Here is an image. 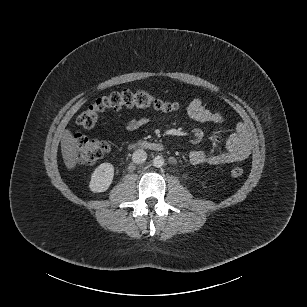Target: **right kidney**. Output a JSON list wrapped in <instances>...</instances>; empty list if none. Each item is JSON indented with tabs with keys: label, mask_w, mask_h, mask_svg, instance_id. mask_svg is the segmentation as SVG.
I'll return each instance as SVG.
<instances>
[{
	"label": "right kidney",
	"mask_w": 307,
	"mask_h": 307,
	"mask_svg": "<svg viewBox=\"0 0 307 307\" xmlns=\"http://www.w3.org/2000/svg\"><path fill=\"white\" fill-rule=\"evenodd\" d=\"M114 166L105 162L98 166L92 173L89 190L92 193H104L113 183Z\"/></svg>",
	"instance_id": "1"
}]
</instances>
